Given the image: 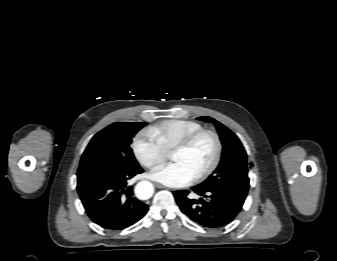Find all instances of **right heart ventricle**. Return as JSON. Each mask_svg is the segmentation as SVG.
<instances>
[{"label":"right heart ventricle","instance_id":"1","mask_svg":"<svg viewBox=\"0 0 337 261\" xmlns=\"http://www.w3.org/2000/svg\"><path fill=\"white\" fill-rule=\"evenodd\" d=\"M201 129L203 126L196 121L171 119L151 127L150 132L167 152H171L187 136Z\"/></svg>","mask_w":337,"mask_h":261}]
</instances>
